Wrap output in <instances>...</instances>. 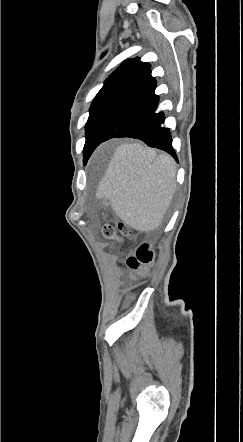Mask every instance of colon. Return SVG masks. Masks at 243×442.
<instances>
[{
	"mask_svg": "<svg viewBox=\"0 0 243 442\" xmlns=\"http://www.w3.org/2000/svg\"><path fill=\"white\" fill-rule=\"evenodd\" d=\"M106 240L121 242L129 236L130 230L127 225L120 223L117 227L105 225L102 230ZM154 253L149 245L140 246L136 253L126 260L127 266L137 275H145L147 266L153 261Z\"/></svg>",
	"mask_w": 243,
	"mask_h": 442,
	"instance_id": "obj_1",
	"label": "colon"
}]
</instances>
